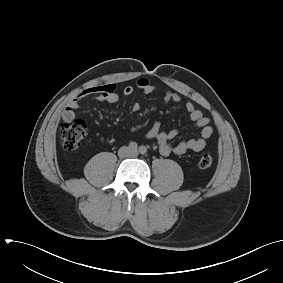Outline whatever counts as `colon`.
<instances>
[{
    "mask_svg": "<svg viewBox=\"0 0 283 283\" xmlns=\"http://www.w3.org/2000/svg\"><path fill=\"white\" fill-rule=\"evenodd\" d=\"M86 133L87 125L81 120L65 122L61 125L59 130L62 144L64 148L69 151L79 147ZM198 165L202 169L209 168L213 165V158L209 154H204L199 158Z\"/></svg>",
    "mask_w": 283,
    "mask_h": 283,
    "instance_id": "5ec220e1",
    "label": "colon"
}]
</instances>
